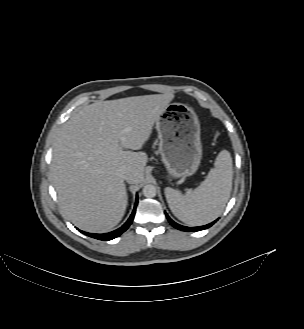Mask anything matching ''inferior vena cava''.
Segmentation results:
<instances>
[{
	"label": "inferior vena cava",
	"instance_id": "obj_1",
	"mask_svg": "<svg viewBox=\"0 0 304 329\" xmlns=\"http://www.w3.org/2000/svg\"><path fill=\"white\" fill-rule=\"evenodd\" d=\"M121 178H122L123 180L129 181L130 178H131V174H130V172H128V171H123V172L121 173Z\"/></svg>",
	"mask_w": 304,
	"mask_h": 329
}]
</instances>
